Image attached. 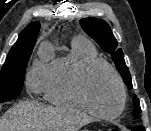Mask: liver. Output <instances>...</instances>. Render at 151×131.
Returning a JSON list of instances; mask_svg holds the SVG:
<instances>
[{
	"label": "liver",
	"instance_id": "obj_1",
	"mask_svg": "<svg viewBox=\"0 0 151 131\" xmlns=\"http://www.w3.org/2000/svg\"><path fill=\"white\" fill-rule=\"evenodd\" d=\"M92 121L73 108L23 101L0 118V131H78Z\"/></svg>",
	"mask_w": 151,
	"mask_h": 131
}]
</instances>
